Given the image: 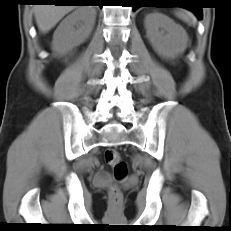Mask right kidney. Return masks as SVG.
<instances>
[{
    "label": "right kidney",
    "instance_id": "obj_1",
    "mask_svg": "<svg viewBox=\"0 0 231 231\" xmlns=\"http://www.w3.org/2000/svg\"><path fill=\"white\" fill-rule=\"evenodd\" d=\"M95 17L92 7H78L55 30L52 50L59 56H65L86 41L93 30Z\"/></svg>",
    "mask_w": 231,
    "mask_h": 231
}]
</instances>
